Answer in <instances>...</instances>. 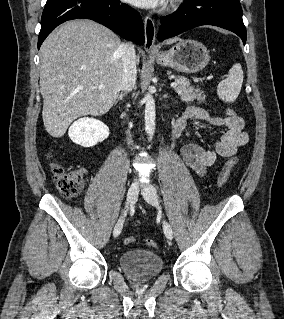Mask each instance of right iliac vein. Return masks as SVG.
Masks as SVG:
<instances>
[{
    "label": "right iliac vein",
    "instance_id": "1",
    "mask_svg": "<svg viewBox=\"0 0 284 319\" xmlns=\"http://www.w3.org/2000/svg\"><path fill=\"white\" fill-rule=\"evenodd\" d=\"M137 196H138V185L136 183H132L127 192L126 210L123 212L122 216L118 219V221L116 222L114 226V230H113L114 237H117L121 233L127 209L129 208L131 204H133L136 201Z\"/></svg>",
    "mask_w": 284,
    "mask_h": 319
}]
</instances>
